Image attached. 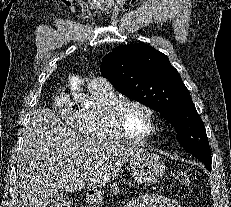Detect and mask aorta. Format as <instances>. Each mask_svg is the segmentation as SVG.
<instances>
[{"instance_id":"obj_1","label":"aorta","mask_w":231,"mask_h":207,"mask_svg":"<svg viewBox=\"0 0 231 207\" xmlns=\"http://www.w3.org/2000/svg\"><path fill=\"white\" fill-rule=\"evenodd\" d=\"M78 79L77 78H75V79H73L72 80V89H74V90H79V88H78ZM80 95H78V94H75V97H79Z\"/></svg>"}]
</instances>
